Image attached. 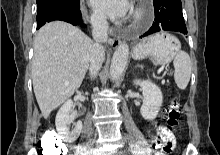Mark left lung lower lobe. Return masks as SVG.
<instances>
[{"instance_id": "1", "label": "left lung lower lobe", "mask_w": 220, "mask_h": 155, "mask_svg": "<svg viewBox=\"0 0 220 155\" xmlns=\"http://www.w3.org/2000/svg\"><path fill=\"white\" fill-rule=\"evenodd\" d=\"M153 3L155 21L143 37L162 30L187 34L181 0H153Z\"/></svg>"}]
</instances>
